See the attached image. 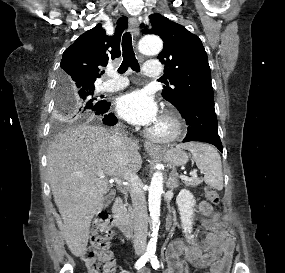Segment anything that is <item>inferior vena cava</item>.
I'll return each instance as SVG.
<instances>
[{"label": "inferior vena cava", "instance_id": "inferior-vena-cava-1", "mask_svg": "<svg viewBox=\"0 0 285 273\" xmlns=\"http://www.w3.org/2000/svg\"><path fill=\"white\" fill-rule=\"evenodd\" d=\"M112 133L111 145L114 156L120 166L125 164V154L123 151V138L115 132ZM124 179L130 183V195L134 211V249L137 254L146 251V240L148 231V215L145 195L141 190V181L135 172L127 170Z\"/></svg>", "mask_w": 285, "mask_h": 273}]
</instances>
